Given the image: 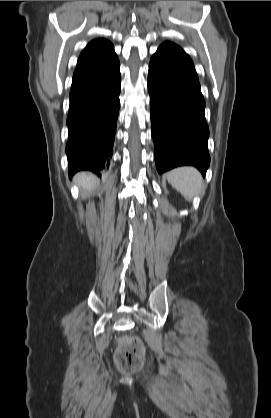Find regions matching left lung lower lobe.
I'll return each mask as SVG.
<instances>
[{"label":"left lung lower lobe","mask_w":271,"mask_h":418,"mask_svg":"<svg viewBox=\"0 0 271 418\" xmlns=\"http://www.w3.org/2000/svg\"><path fill=\"white\" fill-rule=\"evenodd\" d=\"M148 91L157 171L193 165L205 175L210 164L205 101L192 60L176 44L165 42L152 56Z\"/></svg>","instance_id":"left-lung-lower-lobe-1"}]
</instances>
